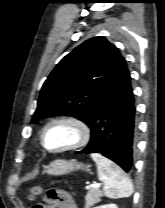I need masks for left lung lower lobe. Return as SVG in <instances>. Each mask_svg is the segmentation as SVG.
<instances>
[{
	"instance_id": "obj_1",
	"label": "left lung lower lobe",
	"mask_w": 165,
	"mask_h": 208,
	"mask_svg": "<svg viewBox=\"0 0 165 208\" xmlns=\"http://www.w3.org/2000/svg\"><path fill=\"white\" fill-rule=\"evenodd\" d=\"M91 139L82 153H101L126 172L133 169L136 148V107L127 66L119 73L97 106Z\"/></svg>"
}]
</instances>
